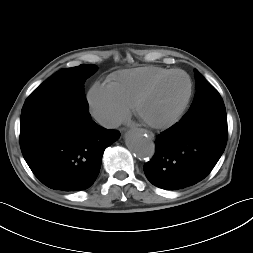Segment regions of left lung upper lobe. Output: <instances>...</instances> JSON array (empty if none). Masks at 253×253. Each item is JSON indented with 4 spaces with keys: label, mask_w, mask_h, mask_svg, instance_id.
Listing matches in <instances>:
<instances>
[{
    "label": "left lung upper lobe",
    "mask_w": 253,
    "mask_h": 253,
    "mask_svg": "<svg viewBox=\"0 0 253 253\" xmlns=\"http://www.w3.org/2000/svg\"><path fill=\"white\" fill-rule=\"evenodd\" d=\"M197 92L190 109L182 119L200 118L202 116L226 112L223 100L218 91L210 85L195 69Z\"/></svg>",
    "instance_id": "1"
}]
</instances>
